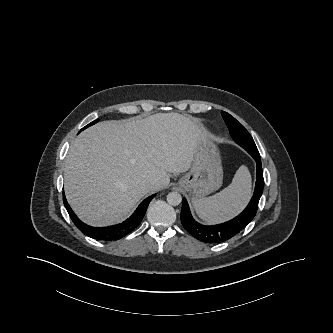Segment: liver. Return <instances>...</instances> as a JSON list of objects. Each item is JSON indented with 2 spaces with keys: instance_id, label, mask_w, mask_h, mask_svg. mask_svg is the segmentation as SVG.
Masks as SVG:
<instances>
[{
  "instance_id": "liver-1",
  "label": "liver",
  "mask_w": 333,
  "mask_h": 333,
  "mask_svg": "<svg viewBox=\"0 0 333 333\" xmlns=\"http://www.w3.org/2000/svg\"><path fill=\"white\" fill-rule=\"evenodd\" d=\"M206 138L200 124L178 113L99 122L70 146L64 168L66 198L91 226L118 223L146 194L169 184L168 172L188 171ZM150 180L156 183L150 186Z\"/></svg>"
}]
</instances>
